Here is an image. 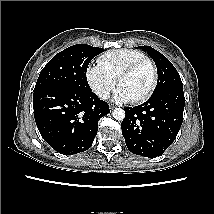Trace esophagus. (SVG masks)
Masks as SVG:
<instances>
[{
  "instance_id": "34e87169",
  "label": "esophagus",
  "mask_w": 214,
  "mask_h": 214,
  "mask_svg": "<svg viewBox=\"0 0 214 214\" xmlns=\"http://www.w3.org/2000/svg\"><path fill=\"white\" fill-rule=\"evenodd\" d=\"M115 107L113 105H109V109L113 110Z\"/></svg>"
}]
</instances>
